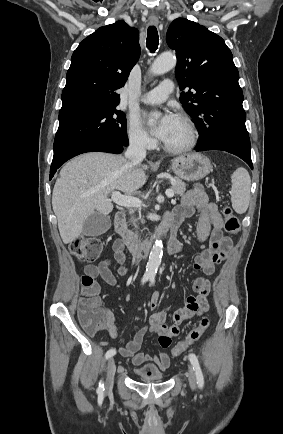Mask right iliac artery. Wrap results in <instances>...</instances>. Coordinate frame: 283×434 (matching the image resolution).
<instances>
[{
	"label": "right iliac artery",
	"mask_w": 283,
	"mask_h": 434,
	"mask_svg": "<svg viewBox=\"0 0 283 434\" xmlns=\"http://www.w3.org/2000/svg\"><path fill=\"white\" fill-rule=\"evenodd\" d=\"M146 281H148V277L144 276V277L142 278V284H144ZM115 354H116V350L113 349V348H111V349H109V350L106 352L105 357H106V359H109V358H111L112 356H114ZM103 391H104V383H103V381H100L99 386H98V389H97V393H98L99 395H102V394H103Z\"/></svg>",
	"instance_id": "obj_1"
}]
</instances>
